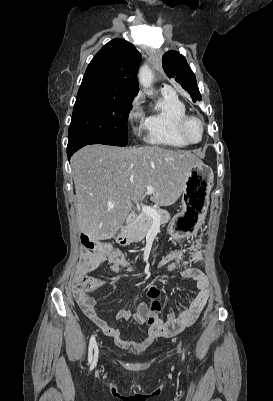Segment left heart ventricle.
Listing matches in <instances>:
<instances>
[{"label":"left heart ventricle","mask_w":273,"mask_h":401,"mask_svg":"<svg viewBox=\"0 0 273 401\" xmlns=\"http://www.w3.org/2000/svg\"><path fill=\"white\" fill-rule=\"evenodd\" d=\"M186 137L191 141H199L202 138V127L197 120H191L185 129Z\"/></svg>","instance_id":"1"}]
</instances>
